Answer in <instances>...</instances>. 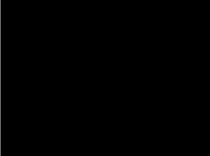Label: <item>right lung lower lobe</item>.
<instances>
[{"label": "right lung lower lobe", "mask_w": 210, "mask_h": 156, "mask_svg": "<svg viewBox=\"0 0 210 156\" xmlns=\"http://www.w3.org/2000/svg\"><path fill=\"white\" fill-rule=\"evenodd\" d=\"M79 134H64V135H58V136L64 140H72V139H75Z\"/></svg>", "instance_id": "obj_1"}]
</instances>
